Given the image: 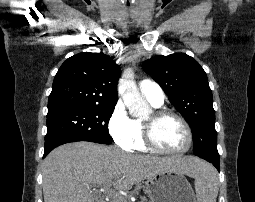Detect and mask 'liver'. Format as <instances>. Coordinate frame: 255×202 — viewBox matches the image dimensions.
<instances>
[{
    "label": "liver",
    "mask_w": 255,
    "mask_h": 202,
    "mask_svg": "<svg viewBox=\"0 0 255 202\" xmlns=\"http://www.w3.org/2000/svg\"><path fill=\"white\" fill-rule=\"evenodd\" d=\"M204 161L191 157L133 155L92 142H74L54 149L43 162L44 202H94V185L117 179L116 189L129 190L134 184L166 171L195 177Z\"/></svg>",
    "instance_id": "liver-1"
}]
</instances>
